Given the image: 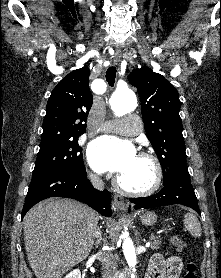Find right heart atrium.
Segmentation results:
<instances>
[{
  "instance_id": "d8ad5b80",
  "label": "right heart atrium",
  "mask_w": 221,
  "mask_h": 278,
  "mask_svg": "<svg viewBox=\"0 0 221 278\" xmlns=\"http://www.w3.org/2000/svg\"><path fill=\"white\" fill-rule=\"evenodd\" d=\"M89 177H90L91 179H95V178H96V176L93 175V174H91V173H89Z\"/></svg>"
}]
</instances>
